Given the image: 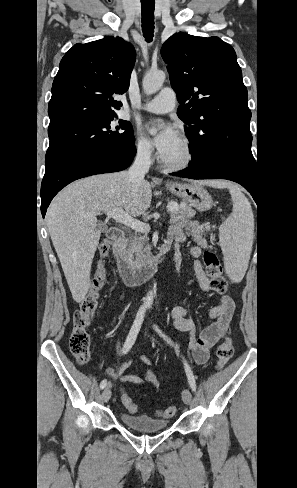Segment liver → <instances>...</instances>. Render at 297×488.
I'll return each mask as SVG.
<instances>
[{
	"instance_id": "1",
	"label": "liver",
	"mask_w": 297,
	"mask_h": 488,
	"mask_svg": "<svg viewBox=\"0 0 297 488\" xmlns=\"http://www.w3.org/2000/svg\"><path fill=\"white\" fill-rule=\"evenodd\" d=\"M151 200L150 183L132 182L128 171L78 180L54 198L46 222L74 301L82 302L91 286V265L101 236L95 214L124 208L136 217L149 209Z\"/></svg>"
}]
</instances>
